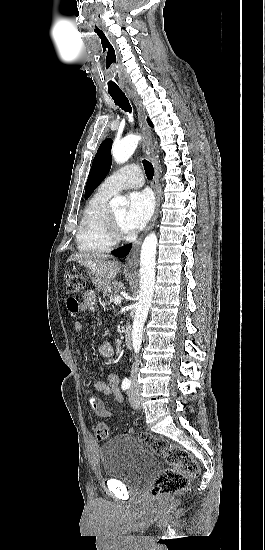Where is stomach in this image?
I'll return each mask as SVG.
<instances>
[{
  "label": "stomach",
  "mask_w": 265,
  "mask_h": 550,
  "mask_svg": "<svg viewBox=\"0 0 265 550\" xmlns=\"http://www.w3.org/2000/svg\"><path fill=\"white\" fill-rule=\"evenodd\" d=\"M96 283H97V287L101 290H104L106 287L110 285V283L100 281L97 277H96Z\"/></svg>",
  "instance_id": "obj_1"
}]
</instances>
